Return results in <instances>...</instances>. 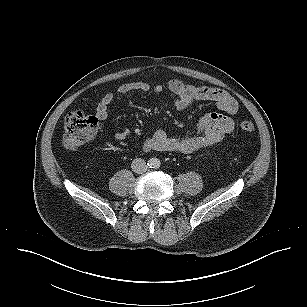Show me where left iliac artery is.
<instances>
[{
    "label": "left iliac artery",
    "instance_id": "obj_1",
    "mask_svg": "<svg viewBox=\"0 0 307 307\" xmlns=\"http://www.w3.org/2000/svg\"><path fill=\"white\" fill-rule=\"evenodd\" d=\"M159 166H160V162L157 161V162H156V167H159Z\"/></svg>",
    "mask_w": 307,
    "mask_h": 307
}]
</instances>
